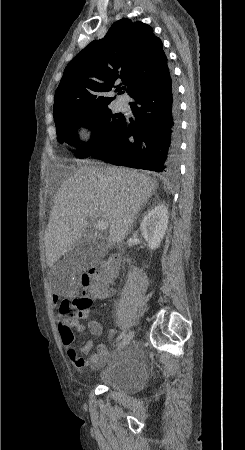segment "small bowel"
Returning <instances> with one entry per match:
<instances>
[{
  "instance_id": "small-bowel-1",
  "label": "small bowel",
  "mask_w": 245,
  "mask_h": 450,
  "mask_svg": "<svg viewBox=\"0 0 245 450\" xmlns=\"http://www.w3.org/2000/svg\"><path fill=\"white\" fill-rule=\"evenodd\" d=\"M114 292H115V290L109 286H107L105 288L95 287L92 291H90L87 294V298L91 299V300L105 299V298L111 297L114 294ZM59 301H60L59 296L53 295L51 297L52 304L56 305ZM77 313H78L79 317L85 321L86 327L93 335H100L102 333L101 324L92 317L91 307H88L86 309H82V308L78 307ZM111 333L113 334L114 330H111ZM63 342L67 347V352H68L69 358L76 365H79L83 361V359L80 358V356H79V352L86 353L93 346V341H91V340L87 341L79 349L76 348V346L74 344V340H72L70 342H65V341H63ZM107 354H108L107 349L103 345H99L97 348V353L92 354L90 356L89 362L97 363L102 357L106 356Z\"/></svg>"
}]
</instances>
